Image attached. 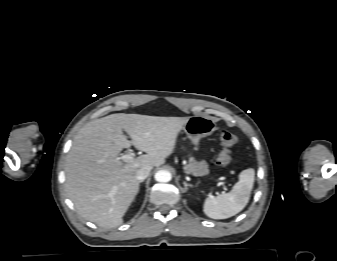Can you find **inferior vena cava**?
I'll use <instances>...</instances> for the list:
<instances>
[{
  "mask_svg": "<svg viewBox=\"0 0 337 261\" xmlns=\"http://www.w3.org/2000/svg\"><path fill=\"white\" fill-rule=\"evenodd\" d=\"M151 169H152L151 167H142L138 169L136 172V179L138 181L145 180L149 176Z\"/></svg>",
  "mask_w": 337,
  "mask_h": 261,
  "instance_id": "1",
  "label": "inferior vena cava"
}]
</instances>
